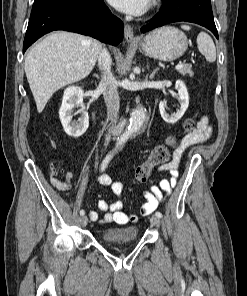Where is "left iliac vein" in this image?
Instances as JSON below:
<instances>
[{
  "label": "left iliac vein",
  "instance_id": "obj_1",
  "mask_svg": "<svg viewBox=\"0 0 247 296\" xmlns=\"http://www.w3.org/2000/svg\"><path fill=\"white\" fill-rule=\"evenodd\" d=\"M150 223L154 226H160L161 220L157 216H152V217H150Z\"/></svg>",
  "mask_w": 247,
  "mask_h": 296
}]
</instances>
